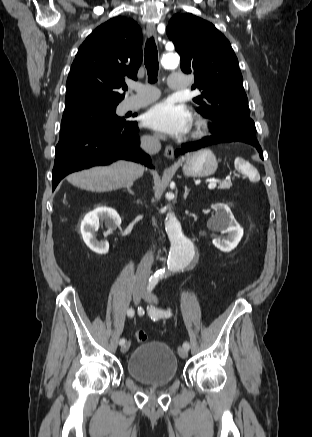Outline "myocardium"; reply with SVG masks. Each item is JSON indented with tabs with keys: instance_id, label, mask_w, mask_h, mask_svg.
Returning <instances> with one entry per match:
<instances>
[{
	"instance_id": "1",
	"label": "myocardium",
	"mask_w": 312,
	"mask_h": 437,
	"mask_svg": "<svg viewBox=\"0 0 312 437\" xmlns=\"http://www.w3.org/2000/svg\"><path fill=\"white\" fill-rule=\"evenodd\" d=\"M208 130V122L204 118H197L193 132L194 137L203 136Z\"/></svg>"
}]
</instances>
